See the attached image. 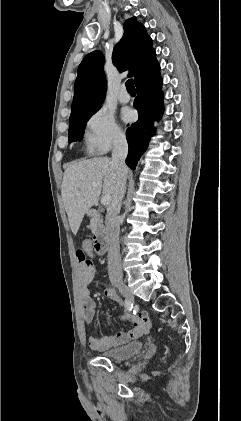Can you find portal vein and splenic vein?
I'll return each instance as SVG.
<instances>
[{"instance_id":"18ae733b","label":"portal vein and splenic vein","mask_w":241,"mask_h":421,"mask_svg":"<svg viewBox=\"0 0 241 421\" xmlns=\"http://www.w3.org/2000/svg\"><path fill=\"white\" fill-rule=\"evenodd\" d=\"M111 200H112L111 195H104L101 198V204L102 205H108V204H110Z\"/></svg>"}]
</instances>
